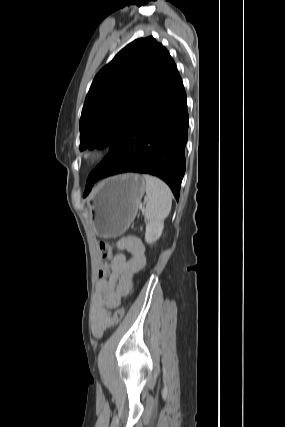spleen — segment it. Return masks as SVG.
I'll return each mask as SVG.
<instances>
[{
    "mask_svg": "<svg viewBox=\"0 0 285 427\" xmlns=\"http://www.w3.org/2000/svg\"><path fill=\"white\" fill-rule=\"evenodd\" d=\"M146 180V213L145 221L164 220L172 206V192L170 188L159 178L144 174Z\"/></svg>",
    "mask_w": 285,
    "mask_h": 427,
    "instance_id": "3e777b00",
    "label": "spleen"
}]
</instances>
